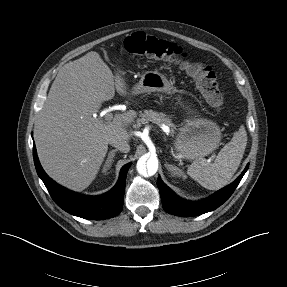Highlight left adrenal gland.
I'll use <instances>...</instances> for the list:
<instances>
[{
	"label": "left adrenal gland",
	"instance_id": "obj_1",
	"mask_svg": "<svg viewBox=\"0 0 287 287\" xmlns=\"http://www.w3.org/2000/svg\"><path fill=\"white\" fill-rule=\"evenodd\" d=\"M165 167L171 173L172 176L185 177V174L178 167L168 164V163L165 164Z\"/></svg>",
	"mask_w": 287,
	"mask_h": 287
}]
</instances>
